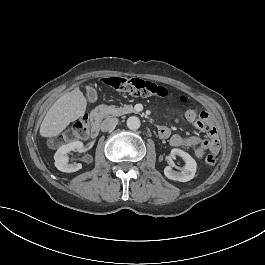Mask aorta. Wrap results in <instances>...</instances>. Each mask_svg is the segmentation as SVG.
I'll return each instance as SVG.
<instances>
[{
	"label": "aorta",
	"mask_w": 265,
	"mask_h": 265,
	"mask_svg": "<svg viewBox=\"0 0 265 265\" xmlns=\"http://www.w3.org/2000/svg\"><path fill=\"white\" fill-rule=\"evenodd\" d=\"M127 127L130 129V130H137L139 129L141 123H140V119L136 116H131L127 119Z\"/></svg>",
	"instance_id": "762f6f07"
}]
</instances>
